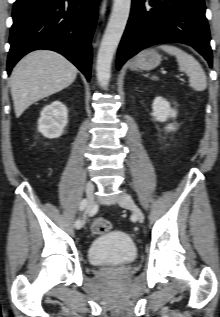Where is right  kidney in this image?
<instances>
[{"label": "right kidney", "instance_id": "ca27d5eb", "mask_svg": "<svg viewBox=\"0 0 220 317\" xmlns=\"http://www.w3.org/2000/svg\"><path fill=\"white\" fill-rule=\"evenodd\" d=\"M68 122L67 107L60 101L46 105L38 120V131L46 138H58Z\"/></svg>", "mask_w": 220, "mask_h": 317}]
</instances>
